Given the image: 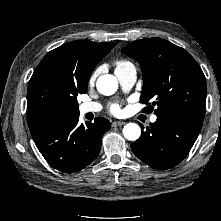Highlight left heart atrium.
<instances>
[{
	"label": "left heart atrium",
	"mask_w": 221,
	"mask_h": 221,
	"mask_svg": "<svg viewBox=\"0 0 221 221\" xmlns=\"http://www.w3.org/2000/svg\"><path fill=\"white\" fill-rule=\"evenodd\" d=\"M110 112L115 115L120 114L121 113L120 105L119 104H112L110 106Z\"/></svg>",
	"instance_id": "left-heart-atrium-1"
}]
</instances>
